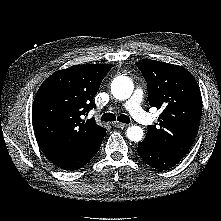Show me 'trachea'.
Listing matches in <instances>:
<instances>
[{"label": "trachea", "mask_w": 221, "mask_h": 221, "mask_svg": "<svg viewBox=\"0 0 221 221\" xmlns=\"http://www.w3.org/2000/svg\"><path fill=\"white\" fill-rule=\"evenodd\" d=\"M119 121L123 123H130V118L127 115L121 114L117 118L114 114L112 113H105L101 116V121Z\"/></svg>", "instance_id": "obj_1"}]
</instances>
